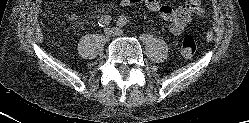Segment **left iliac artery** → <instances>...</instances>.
<instances>
[{
  "label": "left iliac artery",
  "instance_id": "left-iliac-artery-1",
  "mask_svg": "<svg viewBox=\"0 0 249 123\" xmlns=\"http://www.w3.org/2000/svg\"><path fill=\"white\" fill-rule=\"evenodd\" d=\"M127 18L125 16H120L117 21L119 27H124L127 24Z\"/></svg>",
  "mask_w": 249,
  "mask_h": 123
}]
</instances>
